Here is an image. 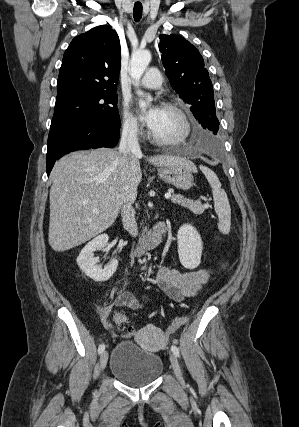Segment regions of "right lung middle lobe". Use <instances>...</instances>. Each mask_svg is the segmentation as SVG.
Here are the masks:
<instances>
[{
    "mask_svg": "<svg viewBox=\"0 0 299 427\" xmlns=\"http://www.w3.org/2000/svg\"><path fill=\"white\" fill-rule=\"evenodd\" d=\"M115 92L81 93L57 100L50 128L76 120L95 121L120 127Z\"/></svg>",
    "mask_w": 299,
    "mask_h": 427,
    "instance_id": "dd1d6c3e",
    "label": "right lung middle lobe"
}]
</instances>
